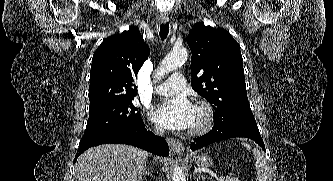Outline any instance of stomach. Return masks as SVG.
Here are the masks:
<instances>
[{
  "label": "stomach",
  "instance_id": "1",
  "mask_svg": "<svg viewBox=\"0 0 333 181\" xmlns=\"http://www.w3.org/2000/svg\"><path fill=\"white\" fill-rule=\"evenodd\" d=\"M195 163L198 167L207 168L213 164V160L208 155H200L195 158Z\"/></svg>",
  "mask_w": 333,
  "mask_h": 181
}]
</instances>
